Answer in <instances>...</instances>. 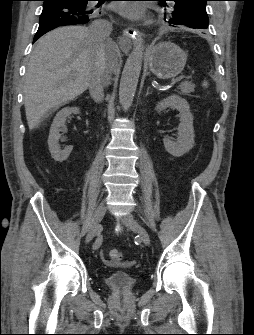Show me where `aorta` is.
I'll return each mask as SVG.
<instances>
[{
  "label": "aorta",
  "instance_id": "aorta-1",
  "mask_svg": "<svg viewBox=\"0 0 254 335\" xmlns=\"http://www.w3.org/2000/svg\"><path fill=\"white\" fill-rule=\"evenodd\" d=\"M144 41L138 38L125 63L119 86V102L124 111L132 105L142 68Z\"/></svg>",
  "mask_w": 254,
  "mask_h": 335
}]
</instances>
